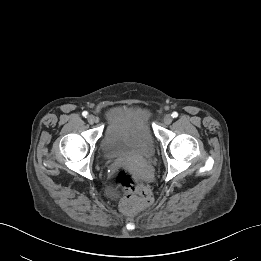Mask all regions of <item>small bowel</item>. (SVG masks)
I'll return each instance as SVG.
<instances>
[{
    "instance_id": "small-bowel-1",
    "label": "small bowel",
    "mask_w": 261,
    "mask_h": 261,
    "mask_svg": "<svg viewBox=\"0 0 261 261\" xmlns=\"http://www.w3.org/2000/svg\"><path fill=\"white\" fill-rule=\"evenodd\" d=\"M121 113H122V109L120 107L111 109L107 114L109 125L115 128L121 127L122 126Z\"/></svg>"
}]
</instances>
